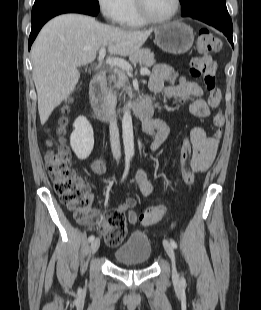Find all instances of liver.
<instances>
[{
  "label": "liver",
  "instance_id": "obj_1",
  "mask_svg": "<svg viewBox=\"0 0 261 310\" xmlns=\"http://www.w3.org/2000/svg\"><path fill=\"white\" fill-rule=\"evenodd\" d=\"M152 31L125 30L80 14H63L50 20L31 49L41 124L74 91L80 78L78 66L93 62L105 46L112 55H131Z\"/></svg>",
  "mask_w": 261,
  "mask_h": 310
}]
</instances>
